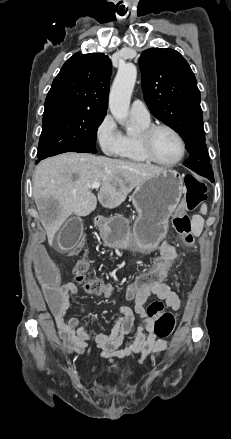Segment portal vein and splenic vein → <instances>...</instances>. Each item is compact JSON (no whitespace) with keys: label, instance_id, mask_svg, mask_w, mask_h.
Listing matches in <instances>:
<instances>
[{"label":"portal vein and splenic vein","instance_id":"18ae733b","mask_svg":"<svg viewBox=\"0 0 231 439\" xmlns=\"http://www.w3.org/2000/svg\"><path fill=\"white\" fill-rule=\"evenodd\" d=\"M100 185H101L100 183H93L91 187L92 189H98Z\"/></svg>","mask_w":231,"mask_h":439}]
</instances>
